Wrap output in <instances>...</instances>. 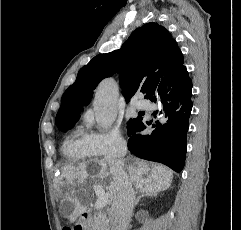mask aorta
I'll use <instances>...</instances> for the list:
<instances>
[{
    "instance_id": "obj_1",
    "label": "aorta",
    "mask_w": 241,
    "mask_h": 230,
    "mask_svg": "<svg viewBox=\"0 0 241 230\" xmlns=\"http://www.w3.org/2000/svg\"><path fill=\"white\" fill-rule=\"evenodd\" d=\"M118 87L114 79H104L97 87L93 110L97 124L110 128L117 117Z\"/></svg>"
}]
</instances>
